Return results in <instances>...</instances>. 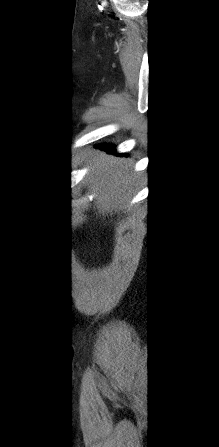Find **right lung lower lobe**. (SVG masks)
I'll list each match as a JSON object with an SVG mask.
<instances>
[{
    "label": "right lung lower lobe",
    "mask_w": 219,
    "mask_h": 447,
    "mask_svg": "<svg viewBox=\"0 0 219 447\" xmlns=\"http://www.w3.org/2000/svg\"><path fill=\"white\" fill-rule=\"evenodd\" d=\"M99 148H101L104 151H108V152H112L113 151V147L112 146L102 145ZM121 156H125V154H121Z\"/></svg>",
    "instance_id": "98d812e1"
}]
</instances>
